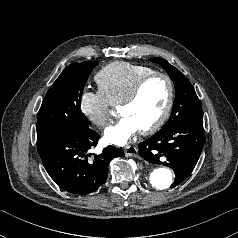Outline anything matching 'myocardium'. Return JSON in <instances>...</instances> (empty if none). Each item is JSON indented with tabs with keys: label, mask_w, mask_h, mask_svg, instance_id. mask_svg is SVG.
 <instances>
[{
	"label": "myocardium",
	"mask_w": 238,
	"mask_h": 238,
	"mask_svg": "<svg viewBox=\"0 0 238 238\" xmlns=\"http://www.w3.org/2000/svg\"><path fill=\"white\" fill-rule=\"evenodd\" d=\"M157 78L163 79L166 82V84L168 86V99H167L166 105H165L161 115L158 117V119L154 123H152L150 126L140 130V133L144 134V135L151 134V133H154L155 131H157L169 117L170 112L173 107V104H174V97H175V89H174V84H173L172 79L167 74L161 73V72H154L152 74H149V75L141 78L135 84V86L133 87L131 92L121 102V105H120V110H121L122 108L133 104L140 96L143 88L150 81L157 79Z\"/></svg>",
	"instance_id": "myocardium-1"
}]
</instances>
